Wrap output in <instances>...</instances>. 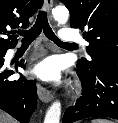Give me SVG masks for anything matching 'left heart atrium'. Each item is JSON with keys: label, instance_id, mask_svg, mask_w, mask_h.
Returning <instances> with one entry per match:
<instances>
[{"label": "left heart atrium", "instance_id": "1", "mask_svg": "<svg viewBox=\"0 0 118 123\" xmlns=\"http://www.w3.org/2000/svg\"><path fill=\"white\" fill-rule=\"evenodd\" d=\"M32 73L43 81L57 82L60 79V66L55 58L48 57L39 62Z\"/></svg>", "mask_w": 118, "mask_h": 123}]
</instances>
